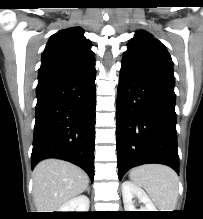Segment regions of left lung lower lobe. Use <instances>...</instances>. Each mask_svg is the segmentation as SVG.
<instances>
[{"mask_svg":"<svg viewBox=\"0 0 203 219\" xmlns=\"http://www.w3.org/2000/svg\"><path fill=\"white\" fill-rule=\"evenodd\" d=\"M174 77L122 60L117 89V161L130 168L159 163L179 173Z\"/></svg>","mask_w":203,"mask_h":219,"instance_id":"left-lung-lower-lobe-1","label":"left lung lower lobe"}]
</instances>
